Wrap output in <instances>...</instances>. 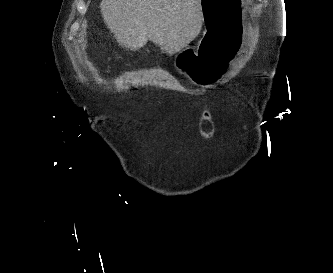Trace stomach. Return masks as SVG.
Instances as JSON below:
<instances>
[{"mask_svg":"<svg viewBox=\"0 0 333 273\" xmlns=\"http://www.w3.org/2000/svg\"><path fill=\"white\" fill-rule=\"evenodd\" d=\"M198 4L209 31L196 51L186 48L177 53L175 67L186 81L209 86L224 81L231 74L229 61L242 54V39L232 38H243L247 16L241 14H248V7L245 0H198Z\"/></svg>","mask_w":333,"mask_h":273,"instance_id":"obj_1","label":"stomach"}]
</instances>
